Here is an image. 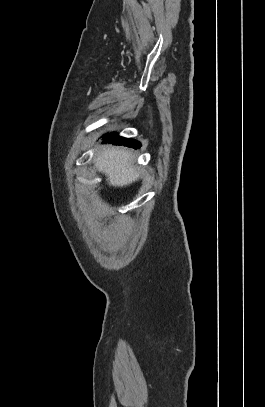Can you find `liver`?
<instances>
[{"label":"liver","instance_id":"liver-1","mask_svg":"<svg viewBox=\"0 0 265 407\" xmlns=\"http://www.w3.org/2000/svg\"><path fill=\"white\" fill-rule=\"evenodd\" d=\"M94 165L106 175L109 185L114 187L130 185L139 177V169L133 166L131 155L124 149H102L95 156Z\"/></svg>","mask_w":265,"mask_h":407}]
</instances>
